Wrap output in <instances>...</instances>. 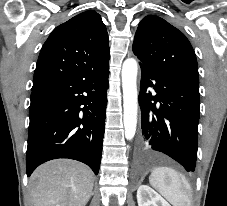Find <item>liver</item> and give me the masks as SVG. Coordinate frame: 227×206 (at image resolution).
I'll use <instances>...</instances> for the list:
<instances>
[{"label": "liver", "instance_id": "obj_1", "mask_svg": "<svg viewBox=\"0 0 227 206\" xmlns=\"http://www.w3.org/2000/svg\"><path fill=\"white\" fill-rule=\"evenodd\" d=\"M93 179L92 171L77 161L44 163L29 181L32 206H85L92 195Z\"/></svg>", "mask_w": 227, "mask_h": 206}]
</instances>
